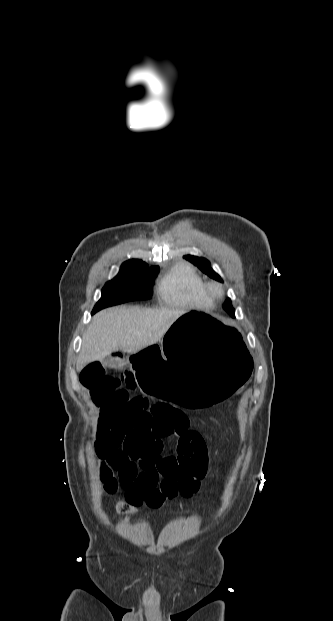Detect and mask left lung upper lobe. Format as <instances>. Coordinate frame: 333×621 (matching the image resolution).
I'll return each mask as SVG.
<instances>
[{
    "label": "left lung upper lobe",
    "instance_id": "1",
    "mask_svg": "<svg viewBox=\"0 0 333 621\" xmlns=\"http://www.w3.org/2000/svg\"><path fill=\"white\" fill-rule=\"evenodd\" d=\"M184 258L197 266L203 273L217 281H222L221 277L211 268L210 262L202 257L185 255ZM225 311L232 317L235 316V309L232 307L231 300L227 299L224 304Z\"/></svg>",
    "mask_w": 333,
    "mask_h": 621
}]
</instances>
